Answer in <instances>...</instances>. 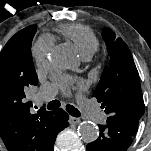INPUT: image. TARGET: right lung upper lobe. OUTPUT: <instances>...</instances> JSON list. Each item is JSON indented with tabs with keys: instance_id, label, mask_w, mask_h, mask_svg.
<instances>
[{
	"instance_id": "right-lung-upper-lobe-1",
	"label": "right lung upper lobe",
	"mask_w": 151,
	"mask_h": 151,
	"mask_svg": "<svg viewBox=\"0 0 151 151\" xmlns=\"http://www.w3.org/2000/svg\"><path fill=\"white\" fill-rule=\"evenodd\" d=\"M38 84L37 74L25 84H13L0 77V134L8 151H50L51 134L47 128L51 111H31L25 92Z\"/></svg>"
}]
</instances>
